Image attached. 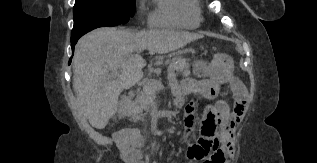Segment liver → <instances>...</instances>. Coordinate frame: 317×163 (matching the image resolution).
<instances>
[{
  "label": "liver",
  "mask_w": 317,
  "mask_h": 163,
  "mask_svg": "<svg viewBox=\"0 0 317 163\" xmlns=\"http://www.w3.org/2000/svg\"><path fill=\"white\" fill-rule=\"evenodd\" d=\"M201 37L187 31L110 27L87 33L77 42L73 57V89L82 114L92 127L105 128L117 112L121 92L143 77V50L165 54Z\"/></svg>",
  "instance_id": "6515ba94"
}]
</instances>
